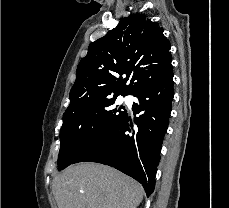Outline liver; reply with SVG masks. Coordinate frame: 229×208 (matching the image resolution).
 I'll return each instance as SVG.
<instances>
[{
  "label": "liver",
  "mask_w": 229,
  "mask_h": 208,
  "mask_svg": "<svg viewBox=\"0 0 229 208\" xmlns=\"http://www.w3.org/2000/svg\"><path fill=\"white\" fill-rule=\"evenodd\" d=\"M58 208H137L144 196L141 184L109 166L73 164L53 180Z\"/></svg>",
  "instance_id": "1"
}]
</instances>
